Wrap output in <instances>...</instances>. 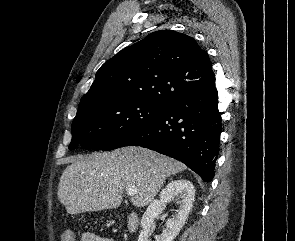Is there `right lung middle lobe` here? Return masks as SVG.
Here are the masks:
<instances>
[{
    "instance_id": "1",
    "label": "right lung middle lobe",
    "mask_w": 295,
    "mask_h": 241,
    "mask_svg": "<svg viewBox=\"0 0 295 241\" xmlns=\"http://www.w3.org/2000/svg\"><path fill=\"white\" fill-rule=\"evenodd\" d=\"M162 106L140 103L116 92H101L82 98L72 123L69 149L112 150L130 133L157 117Z\"/></svg>"
}]
</instances>
